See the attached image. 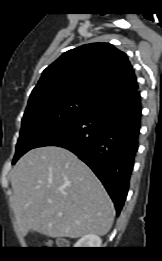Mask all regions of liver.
Instances as JSON below:
<instances>
[{
    "mask_svg": "<svg viewBox=\"0 0 162 261\" xmlns=\"http://www.w3.org/2000/svg\"><path fill=\"white\" fill-rule=\"evenodd\" d=\"M11 204L19 231L51 238L106 235L114 205L101 182L72 152L57 146L35 148L11 174Z\"/></svg>",
    "mask_w": 162,
    "mask_h": 261,
    "instance_id": "1",
    "label": "liver"
}]
</instances>
